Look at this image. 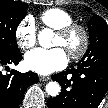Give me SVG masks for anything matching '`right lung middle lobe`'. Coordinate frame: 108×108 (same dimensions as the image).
I'll return each instance as SVG.
<instances>
[{
  "label": "right lung middle lobe",
  "instance_id": "dd1d6c3e",
  "mask_svg": "<svg viewBox=\"0 0 108 108\" xmlns=\"http://www.w3.org/2000/svg\"><path fill=\"white\" fill-rule=\"evenodd\" d=\"M27 5L13 1H0V50L6 53L19 51L16 42V29L26 16Z\"/></svg>",
  "mask_w": 108,
  "mask_h": 108
}]
</instances>
